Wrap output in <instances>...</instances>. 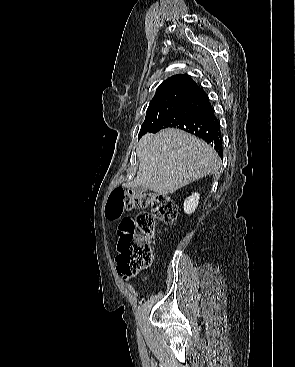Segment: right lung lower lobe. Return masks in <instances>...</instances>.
Instances as JSON below:
<instances>
[{"instance_id": "right-lung-lower-lobe-1", "label": "right lung lower lobe", "mask_w": 295, "mask_h": 367, "mask_svg": "<svg viewBox=\"0 0 295 367\" xmlns=\"http://www.w3.org/2000/svg\"><path fill=\"white\" fill-rule=\"evenodd\" d=\"M164 128H178L202 138L223 158L220 125L202 88L195 91L150 132L156 133Z\"/></svg>"}]
</instances>
